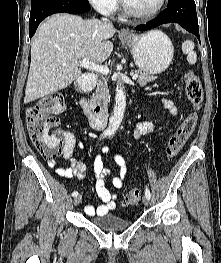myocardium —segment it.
Here are the masks:
<instances>
[{
    "label": "myocardium",
    "instance_id": "1",
    "mask_svg": "<svg viewBox=\"0 0 221 263\" xmlns=\"http://www.w3.org/2000/svg\"><path fill=\"white\" fill-rule=\"evenodd\" d=\"M124 11L132 17L136 18H150L158 14L165 6L166 0H160L159 4L150 11H138L129 5L127 0H121Z\"/></svg>",
    "mask_w": 221,
    "mask_h": 263
}]
</instances>
